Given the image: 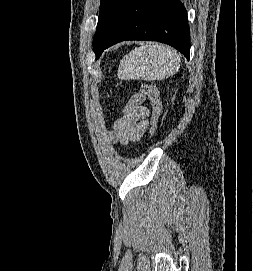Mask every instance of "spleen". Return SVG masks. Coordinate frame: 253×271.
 Listing matches in <instances>:
<instances>
[{
	"instance_id": "3e777b00",
	"label": "spleen",
	"mask_w": 253,
	"mask_h": 271,
	"mask_svg": "<svg viewBox=\"0 0 253 271\" xmlns=\"http://www.w3.org/2000/svg\"><path fill=\"white\" fill-rule=\"evenodd\" d=\"M180 68L179 54L168 46L136 47L120 61L117 76L122 80H164Z\"/></svg>"
}]
</instances>
